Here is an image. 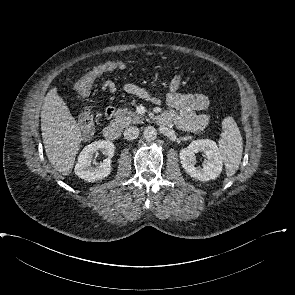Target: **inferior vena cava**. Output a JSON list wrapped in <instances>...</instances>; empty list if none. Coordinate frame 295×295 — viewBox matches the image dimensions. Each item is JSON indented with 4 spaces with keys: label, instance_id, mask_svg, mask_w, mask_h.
Here are the masks:
<instances>
[{
    "label": "inferior vena cava",
    "instance_id": "602c4592",
    "mask_svg": "<svg viewBox=\"0 0 295 295\" xmlns=\"http://www.w3.org/2000/svg\"><path fill=\"white\" fill-rule=\"evenodd\" d=\"M139 136V128L137 127H128L124 131V138L127 140H134Z\"/></svg>",
    "mask_w": 295,
    "mask_h": 295
}]
</instances>
